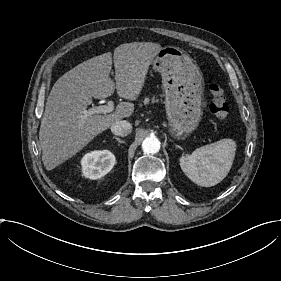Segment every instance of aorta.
Wrapping results in <instances>:
<instances>
[{
    "instance_id": "1",
    "label": "aorta",
    "mask_w": 281,
    "mask_h": 281,
    "mask_svg": "<svg viewBox=\"0 0 281 281\" xmlns=\"http://www.w3.org/2000/svg\"><path fill=\"white\" fill-rule=\"evenodd\" d=\"M142 149L145 153L156 154L160 150V141L157 137H147L142 143Z\"/></svg>"
}]
</instances>
